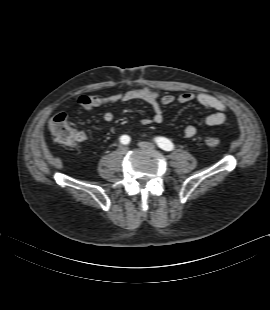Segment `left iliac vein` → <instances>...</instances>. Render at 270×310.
Returning a JSON list of instances; mask_svg holds the SVG:
<instances>
[{
    "mask_svg": "<svg viewBox=\"0 0 270 310\" xmlns=\"http://www.w3.org/2000/svg\"><path fill=\"white\" fill-rule=\"evenodd\" d=\"M139 147L143 148V149H154L155 148V145L153 143H150V142H139L138 143Z\"/></svg>",
    "mask_w": 270,
    "mask_h": 310,
    "instance_id": "1",
    "label": "left iliac vein"
}]
</instances>
